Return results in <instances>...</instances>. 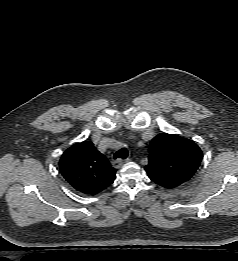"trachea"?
<instances>
[{
    "mask_svg": "<svg viewBox=\"0 0 238 261\" xmlns=\"http://www.w3.org/2000/svg\"><path fill=\"white\" fill-rule=\"evenodd\" d=\"M127 156H128V151H127V149H126V148H121L120 150H118V151L114 154L113 158H114V159H117V158L126 159Z\"/></svg>",
    "mask_w": 238,
    "mask_h": 261,
    "instance_id": "trachea-1",
    "label": "trachea"
}]
</instances>
